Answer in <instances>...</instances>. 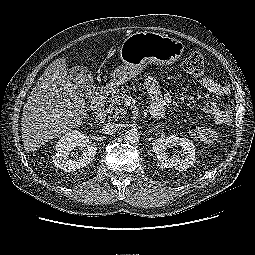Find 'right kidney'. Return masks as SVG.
<instances>
[{
  "label": "right kidney",
  "mask_w": 255,
  "mask_h": 255,
  "mask_svg": "<svg viewBox=\"0 0 255 255\" xmlns=\"http://www.w3.org/2000/svg\"><path fill=\"white\" fill-rule=\"evenodd\" d=\"M76 147L82 150L81 156L70 159L69 155ZM55 148L57 153L53 156L54 164L65 172H73L86 167L94 159L97 151L87 135L74 130L63 135Z\"/></svg>",
  "instance_id": "right-kidney-1"
}]
</instances>
